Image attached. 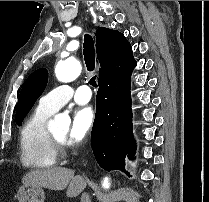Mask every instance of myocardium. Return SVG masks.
Listing matches in <instances>:
<instances>
[{
  "label": "myocardium",
  "mask_w": 209,
  "mask_h": 202,
  "mask_svg": "<svg viewBox=\"0 0 209 202\" xmlns=\"http://www.w3.org/2000/svg\"><path fill=\"white\" fill-rule=\"evenodd\" d=\"M51 141L53 145L55 146L57 152L61 155L65 154V146H66V141L64 139H59L53 134H50Z\"/></svg>",
  "instance_id": "myocardium-1"
}]
</instances>
